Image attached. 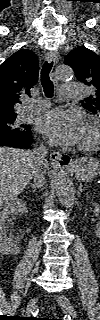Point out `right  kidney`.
<instances>
[{"label": "right kidney", "instance_id": "right-kidney-1", "mask_svg": "<svg viewBox=\"0 0 100 320\" xmlns=\"http://www.w3.org/2000/svg\"><path fill=\"white\" fill-rule=\"evenodd\" d=\"M27 205L21 199L14 198L9 203L3 206L0 211V248L5 254H16L18 252V243L20 237L7 236L9 231V225L7 221L9 218H14L16 213H26Z\"/></svg>", "mask_w": 100, "mask_h": 320}]
</instances>
